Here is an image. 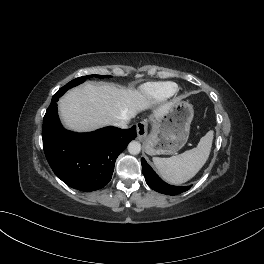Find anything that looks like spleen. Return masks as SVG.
I'll list each match as a JSON object with an SVG mask.
<instances>
[{"mask_svg": "<svg viewBox=\"0 0 264 264\" xmlns=\"http://www.w3.org/2000/svg\"><path fill=\"white\" fill-rule=\"evenodd\" d=\"M214 132L208 131L197 147L170 158L154 157L159 174L171 184L179 185L193 178L206 163L213 142Z\"/></svg>", "mask_w": 264, "mask_h": 264, "instance_id": "obj_1", "label": "spleen"}]
</instances>
